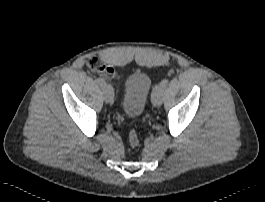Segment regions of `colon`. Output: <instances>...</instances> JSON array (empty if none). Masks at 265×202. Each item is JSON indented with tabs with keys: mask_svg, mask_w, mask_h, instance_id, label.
I'll return each instance as SVG.
<instances>
[{
	"mask_svg": "<svg viewBox=\"0 0 265 202\" xmlns=\"http://www.w3.org/2000/svg\"><path fill=\"white\" fill-rule=\"evenodd\" d=\"M128 139H129L130 146L132 148H137L139 146L140 138H139L138 133L135 130L130 131Z\"/></svg>",
	"mask_w": 265,
	"mask_h": 202,
	"instance_id": "obj_1",
	"label": "colon"
}]
</instances>
